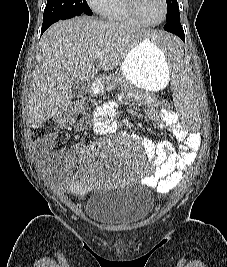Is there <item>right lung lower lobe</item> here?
<instances>
[{
  "mask_svg": "<svg viewBox=\"0 0 227 267\" xmlns=\"http://www.w3.org/2000/svg\"><path fill=\"white\" fill-rule=\"evenodd\" d=\"M57 21L59 20H48V21L43 22L41 33H43L50 25H52L54 22H57Z\"/></svg>",
  "mask_w": 227,
  "mask_h": 267,
  "instance_id": "right-lung-lower-lobe-1",
  "label": "right lung lower lobe"
}]
</instances>
